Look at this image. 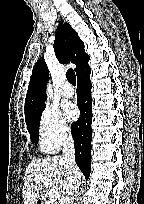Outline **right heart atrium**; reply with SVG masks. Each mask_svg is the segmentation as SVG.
<instances>
[{
    "label": "right heart atrium",
    "mask_w": 144,
    "mask_h": 204,
    "mask_svg": "<svg viewBox=\"0 0 144 204\" xmlns=\"http://www.w3.org/2000/svg\"><path fill=\"white\" fill-rule=\"evenodd\" d=\"M38 128L41 147L47 152L57 151L71 139L70 128L56 107L46 106L41 111Z\"/></svg>",
    "instance_id": "right-heart-atrium-1"
}]
</instances>
